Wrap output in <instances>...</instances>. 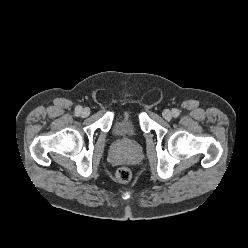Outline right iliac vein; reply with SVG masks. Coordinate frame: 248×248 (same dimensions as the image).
<instances>
[{"mask_svg": "<svg viewBox=\"0 0 248 248\" xmlns=\"http://www.w3.org/2000/svg\"><path fill=\"white\" fill-rule=\"evenodd\" d=\"M89 114H90V109H89V108H84V109L82 110V112H81V115H82L83 117H87V116H89Z\"/></svg>", "mask_w": 248, "mask_h": 248, "instance_id": "right-iliac-vein-1", "label": "right iliac vein"}]
</instances>
